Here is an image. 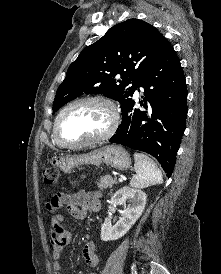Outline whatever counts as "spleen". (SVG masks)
Instances as JSON below:
<instances>
[{
    "mask_svg": "<svg viewBox=\"0 0 221 274\" xmlns=\"http://www.w3.org/2000/svg\"><path fill=\"white\" fill-rule=\"evenodd\" d=\"M134 169L136 174L130 181L131 187L143 189L163 181L162 173L155 162L147 155L134 153Z\"/></svg>",
    "mask_w": 221,
    "mask_h": 274,
    "instance_id": "3e777b00",
    "label": "spleen"
}]
</instances>
